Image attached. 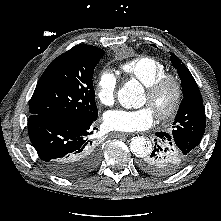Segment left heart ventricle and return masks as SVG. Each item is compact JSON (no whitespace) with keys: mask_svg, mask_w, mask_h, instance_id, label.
<instances>
[{"mask_svg":"<svg viewBox=\"0 0 221 221\" xmlns=\"http://www.w3.org/2000/svg\"><path fill=\"white\" fill-rule=\"evenodd\" d=\"M172 96H173V91L171 88L165 89L160 94V96L155 100L150 99L147 93H145L143 103L147 104L153 110V112L156 113L157 111L168 107V105L172 100Z\"/></svg>","mask_w":221,"mask_h":221,"instance_id":"left-heart-ventricle-1","label":"left heart ventricle"}]
</instances>
